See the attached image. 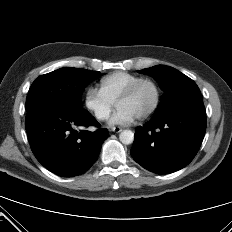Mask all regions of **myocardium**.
<instances>
[{
  "label": "myocardium",
  "mask_w": 232,
  "mask_h": 232,
  "mask_svg": "<svg viewBox=\"0 0 232 232\" xmlns=\"http://www.w3.org/2000/svg\"><path fill=\"white\" fill-rule=\"evenodd\" d=\"M144 83H149L153 86L154 91H155V99L150 109L138 117V119H141V120H145L149 118L150 116H152L160 104L161 89L158 83L154 79L149 78V77H141L140 79L132 83L115 102L116 106H118L119 103L130 99L135 94V92L138 90V88Z\"/></svg>",
  "instance_id": "f54148a6"
}]
</instances>
